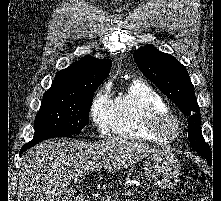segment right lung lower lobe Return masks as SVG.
I'll return each mask as SVG.
<instances>
[{
  "label": "right lung lower lobe",
  "mask_w": 221,
  "mask_h": 201,
  "mask_svg": "<svg viewBox=\"0 0 221 201\" xmlns=\"http://www.w3.org/2000/svg\"><path fill=\"white\" fill-rule=\"evenodd\" d=\"M53 137H73V135L70 134H51V135H47V136H42L36 139H32L30 142L26 143L20 150V154H22L25 150L33 147L34 145L38 144L39 142L45 140V139H49V138H53Z\"/></svg>",
  "instance_id": "98d812e1"
}]
</instances>
